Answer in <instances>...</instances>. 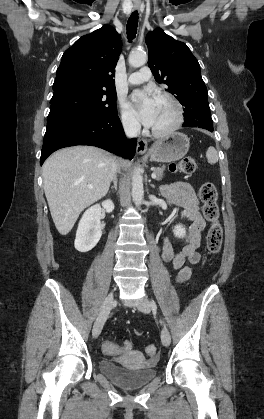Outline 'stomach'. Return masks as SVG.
<instances>
[{
  "label": "stomach",
  "instance_id": "0dacf381",
  "mask_svg": "<svg viewBox=\"0 0 264 419\" xmlns=\"http://www.w3.org/2000/svg\"><path fill=\"white\" fill-rule=\"evenodd\" d=\"M190 147V140L187 135L181 132H174L166 138L153 144L148 155L151 161L173 162L183 158Z\"/></svg>",
  "mask_w": 264,
  "mask_h": 419
}]
</instances>
